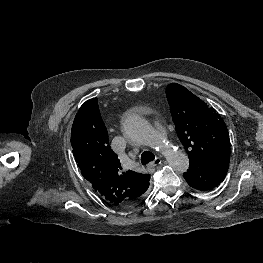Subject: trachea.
<instances>
[{
	"label": "trachea",
	"mask_w": 263,
	"mask_h": 263,
	"mask_svg": "<svg viewBox=\"0 0 263 263\" xmlns=\"http://www.w3.org/2000/svg\"><path fill=\"white\" fill-rule=\"evenodd\" d=\"M155 156L153 153L149 152V151H144L141 155V163L142 165H145L147 163H149L150 161L154 160Z\"/></svg>",
	"instance_id": "1"
}]
</instances>
